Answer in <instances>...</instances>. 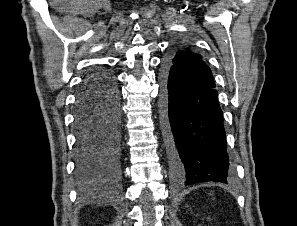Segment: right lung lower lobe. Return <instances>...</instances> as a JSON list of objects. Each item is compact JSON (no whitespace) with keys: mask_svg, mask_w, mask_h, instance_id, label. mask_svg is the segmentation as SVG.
<instances>
[{"mask_svg":"<svg viewBox=\"0 0 297 226\" xmlns=\"http://www.w3.org/2000/svg\"><path fill=\"white\" fill-rule=\"evenodd\" d=\"M76 174L83 191L120 177V94L113 74L96 69L77 95L74 120Z\"/></svg>","mask_w":297,"mask_h":226,"instance_id":"98d812e1","label":"right lung lower lobe"}]
</instances>
